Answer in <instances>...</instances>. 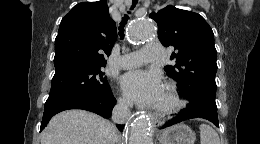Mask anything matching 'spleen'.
I'll return each instance as SVG.
<instances>
[{"mask_svg": "<svg viewBox=\"0 0 260 144\" xmlns=\"http://www.w3.org/2000/svg\"><path fill=\"white\" fill-rule=\"evenodd\" d=\"M199 129L201 144H220L219 136L211 126L201 124Z\"/></svg>", "mask_w": 260, "mask_h": 144, "instance_id": "1", "label": "spleen"}]
</instances>
